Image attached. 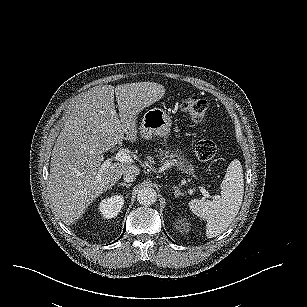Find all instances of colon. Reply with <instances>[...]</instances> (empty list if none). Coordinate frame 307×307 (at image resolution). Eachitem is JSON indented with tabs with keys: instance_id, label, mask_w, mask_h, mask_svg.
Instances as JSON below:
<instances>
[{
	"instance_id": "colon-1",
	"label": "colon",
	"mask_w": 307,
	"mask_h": 307,
	"mask_svg": "<svg viewBox=\"0 0 307 307\" xmlns=\"http://www.w3.org/2000/svg\"><path fill=\"white\" fill-rule=\"evenodd\" d=\"M181 110L188 114L194 122H201L207 114L208 103L198 96H190L182 101ZM216 151V145L210 139H201L195 145V155L203 162L211 160Z\"/></svg>"
}]
</instances>
